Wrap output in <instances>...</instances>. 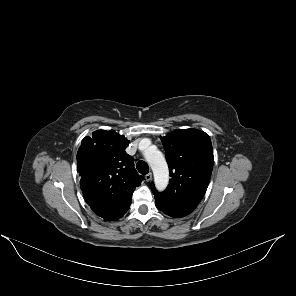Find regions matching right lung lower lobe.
<instances>
[{
  "label": "right lung lower lobe",
  "instance_id": "right-lung-lower-lobe-1",
  "mask_svg": "<svg viewBox=\"0 0 296 296\" xmlns=\"http://www.w3.org/2000/svg\"><path fill=\"white\" fill-rule=\"evenodd\" d=\"M130 204L131 200L118 204L92 206L91 209L104 220H117L127 212Z\"/></svg>",
  "mask_w": 296,
  "mask_h": 296
}]
</instances>
